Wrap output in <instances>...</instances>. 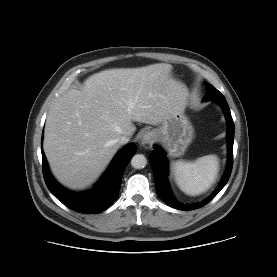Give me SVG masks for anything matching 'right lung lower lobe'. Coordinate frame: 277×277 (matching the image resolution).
Returning <instances> with one entry per match:
<instances>
[{
	"label": "right lung lower lobe",
	"mask_w": 277,
	"mask_h": 277,
	"mask_svg": "<svg viewBox=\"0 0 277 277\" xmlns=\"http://www.w3.org/2000/svg\"><path fill=\"white\" fill-rule=\"evenodd\" d=\"M136 150L137 148L134 143L120 150L93 189L81 193H74L63 188L53 178L48 168L43 149L41 148L45 183L50 192L60 202L74 211L84 214H94L104 211L116 200L124 170L136 153Z\"/></svg>",
	"instance_id": "right-lung-lower-lobe-1"
}]
</instances>
